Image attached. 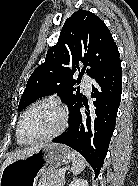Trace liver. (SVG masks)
Masks as SVG:
<instances>
[{
    "label": "liver",
    "mask_w": 138,
    "mask_h": 186,
    "mask_svg": "<svg viewBox=\"0 0 138 186\" xmlns=\"http://www.w3.org/2000/svg\"><path fill=\"white\" fill-rule=\"evenodd\" d=\"M43 145V143L37 144V145H33L31 147H28L26 149L23 150H19L16 151L14 153H11L7 159L4 161L2 168L5 167L9 162H11L14 159H20V158H26L30 155H32L35 151H37L41 146Z\"/></svg>",
    "instance_id": "1"
}]
</instances>
